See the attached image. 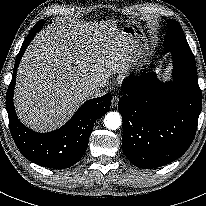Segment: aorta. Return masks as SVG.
<instances>
[{
  "label": "aorta",
  "mask_w": 206,
  "mask_h": 206,
  "mask_svg": "<svg viewBox=\"0 0 206 206\" xmlns=\"http://www.w3.org/2000/svg\"><path fill=\"white\" fill-rule=\"evenodd\" d=\"M121 115L118 112H108L104 118V125L109 130H116L121 125Z\"/></svg>",
  "instance_id": "obj_1"
}]
</instances>
